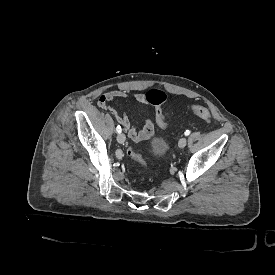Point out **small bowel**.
Masks as SVG:
<instances>
[{
    "label": "small bowel",
    "instance_id": "small-bowel-1",
    "mask_svg": "<svg viewBox=\"0 0 275 275\" xmlns=\"http://www.w3.org/2000/svg\"><path fill=\"white\" fill-rule=\"evenodd\" d=\"M127 97V90H111L100 95L96 104L99 108L109 111L115 117V119L128 131V137L133 142H141L152 135L154 128L153 120L150 117H147L144 126L140 129L137 125H131L130 119L126 114L119 112L116 108L110 105V103L116 99H126ZM133 97L140 105L148 104L145 94L141 92H135Z\"/></svg>",
    "mask_w": 275,
    "mask_h": 275
}]
</instances>
